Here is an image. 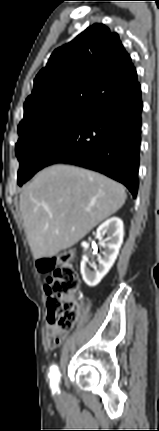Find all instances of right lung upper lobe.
<instances>
[{"mask_svg": "<svg viewBox=\"0 0 159 431\" xmlns=\"http://www.w3.org/2000/svg\"><path fill=\"white\" fill-rule=\"evenodd\" d=\"M137 84L118 34L94 24L52 53L34 80L18 129L59 112L90 114Z\"/></svg>", "mask_w": 159, "mask_h": 431, "instance_id": "1", "label": "right lung upper lobe"}]
</instances>
